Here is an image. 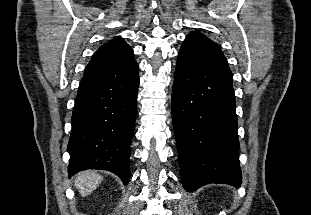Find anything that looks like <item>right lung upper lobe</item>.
<instances>
[{"label":"right lung upper lobe","instance_id":"1","mask_svg":"<svg viewBox=\"0 0 311 215\" xmlns=\"http://www.w3.org/2000/svg\"><path fill=\"white\" fill-rule=\"evenodd\" d=\"M134 61V54L131 47L121 38L115 37L113 40L102 45L92 56L90 65L101 66H122Z\"/></svg>","mask_w":311,"mask_h":215}]
</instances>
